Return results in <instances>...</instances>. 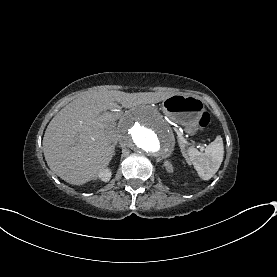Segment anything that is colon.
<instances>
[{
    "instance_id": "colon-1",
    "label": "colon",
    "mask_w": 277,
    "mask_h": 277,
    "mask_svg": "<svg viewBox=\"0 0 277 277\" xmlns=\"http://www.w3.org/2000/svg\"><path fill=\"white\" fill-rule=\"evenodd\" d=\"M209 121H210L209 115L207 113H202L199 121V126L201 128H205L206 126H208Z\"/></svg>"
}]
</instances>
